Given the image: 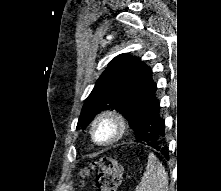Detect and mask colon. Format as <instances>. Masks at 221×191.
I'll return each mask as SVG.
<instances>
[{"label":"colon","mask_w":221,"mask_h":191,"mask_svg":"<svg viewBox=\"0 0 221 191\" xmlns=\"http://www.w3.org/2000/svg\"><path fill=\"white\" fill-rule=\"evenodd\" d=\"M98 170L96 191H117L122 178V165L114 157L104 156L94 164ZM88 169L82 171L85 177Z\"/></svg>","instance_id":"obj_1"}]
</instances>
